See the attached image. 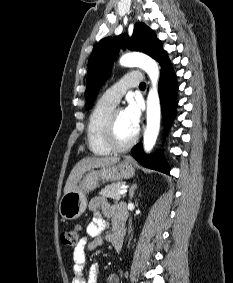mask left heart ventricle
<instances>
[{"instance_id": "obj_1", "label": "left heart ventricle", "mask_w": 233, "mask_h": 283, "mask_svg": "<svg viewBox=\"0 0 233 283\" xmlns=\"http://www.w3.org/2000/svg\"><path fill=\"white\" fill-rule=\"evenodd\" d=\"M136 130L130 125L123 111H119L115 124V139L119 144L127 143L135 134Z\"/></svg>"}]
</instances>
